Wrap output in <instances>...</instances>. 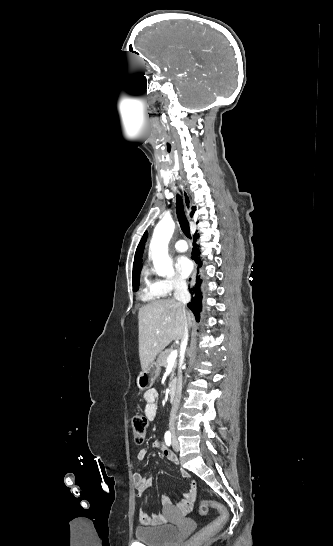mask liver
<instances>
[{"label": "liver", "instance_id": "liver-1", "mask_svg": "<svg viewBox=\"0 0 333 546\" xmlns=\"http://www.w3.org/2000/svg\"><path fill=\"white\" fill-rule=\"evenodd\" d=\"M191 314L187 312V319ZM139 357L142 370L172 341L183 337L185 318L182 305L175 299L159 300L139 309Z\"/></svg>", "mask_w": 333, "mask_h": 546}]
</instances>
